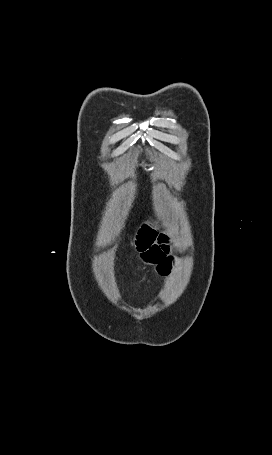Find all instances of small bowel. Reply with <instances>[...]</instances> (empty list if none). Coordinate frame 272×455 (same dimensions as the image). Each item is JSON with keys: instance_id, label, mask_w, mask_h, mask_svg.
<instances>
[{"instance_id": "small-bowel-1", "label": "small bowel", "mask_w": 272, "mask_h": 455, "mask_svg": "<svg viewBox=\"0 0 272 455\" xmlns=\"http://www.w3.org/2000/svg\"><path fill=\"white\" fill-rule=\"evenodd\" d=\"M137 242L141 260L146 264L155 265L159 274L165 275L171 263L165 237L158 235L155 229L147 225L140 230Z\"/></svg>"}]
</instances>
